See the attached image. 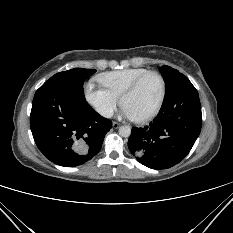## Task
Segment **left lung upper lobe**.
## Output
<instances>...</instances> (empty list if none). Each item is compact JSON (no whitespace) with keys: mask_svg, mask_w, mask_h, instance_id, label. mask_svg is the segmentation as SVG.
I'll list each match as a JSON object with an SVG mask.
<instances>
[{"mask_svg":"<svg viewBox=\"0 0 233 233\" xmlns=\"http://www.w3.org/2000/svg\"><path fill=\"white\" fill-rule=\"evenodd\" d=\"M165 84H166V93L171 89V87L174 85L176 79L181 75V73L176 70L171 68L170 66L163 65L162 67L159 68Z\"/></svg>","mask_w":233,"mask_h":233,"instance_id":"1","label":"left lung upper lobe"}]
</instances>
